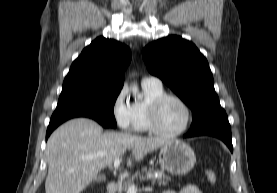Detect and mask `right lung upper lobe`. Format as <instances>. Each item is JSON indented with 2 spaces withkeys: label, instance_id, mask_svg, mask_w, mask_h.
Here are the masks:
<instances>
[{
  "label": "right lung upper lobe",
  "instance_id": "obj_1",
  "mask_svg": "<svg viewBox=\"0 0 277 193\" xmlns=\"http://www.w3.org/2000/svg\"><path fill=\"white\" fill-rule=\"evenodd\" d=\"M130 49L115 40L98 37L72 63L62 90L75 87L121 90Z\"/></svg>",
  "mask_w": 277,
  "mask_h": 193
}]
</instances>
